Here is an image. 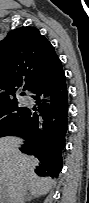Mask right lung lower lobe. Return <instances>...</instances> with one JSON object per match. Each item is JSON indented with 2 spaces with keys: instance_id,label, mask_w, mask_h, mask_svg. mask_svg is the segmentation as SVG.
I'll list each match as a JSON object with an SVG mask.
<instances>
[{
  "instance_id": "1",
  "label": "right lung lower lobe",
  "mask_w": 89,
  "mask_h": 203,
  "mask_svg": "<svg viewBox=\"0 0 89 203\" xmlns=\"http://www.w3.org/2000/svg\"><path fill=\"white\" fill-rule=\"evenodd\" d=\"M62 66L40 77L29 91L38 108H28L10 135L26 140L20 150L36 156L39 176L58 177L62 170L61 152L65 147L68 124V97Z\"/></svg>"
}]
</instances>
